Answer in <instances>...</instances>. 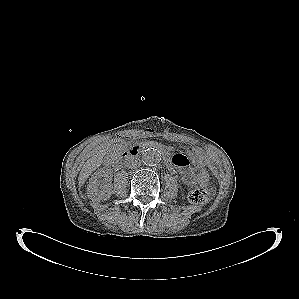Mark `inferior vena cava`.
I'll use <instances>...</instances> for the list:
<instances>
[{
    "instance_id": "1",
    "label": "inferior vena cava",
    "mask_w": 299,
    "mask_h": 299,
    "mask_svg": "<svg viewBox=\"0 0 299 299\" xmlns=\"http://www.w3.org/2000/svg\"><path fill=\"white\" fill-rule=\"evenodd\" d=\"M140 164H141L140 161L135 160V161L132 162L131 168L136 169L137 167L140 166Z\"/></svg>"
}]
</instances>
